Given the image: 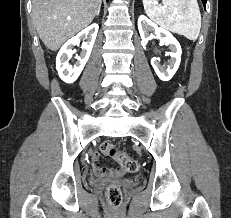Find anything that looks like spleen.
Segmentation results:
<instances>
[{"label":"spleen","mask_w":231,"mask_h":218,"mask_svg":"<svg viewBox=\"0 0 231 218\" xmlns=\"http://www.w3.org/2000/svg\"><path fill=\"white\" fill-rule=\"evenodd\" d=\"M146 14L171 32L196 40L201 29V14L197 0H142Z\"/></svg>","instance_id":"obj_1"}]
</instances>
